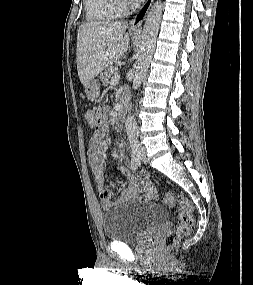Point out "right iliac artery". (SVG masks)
I'll return each instance as SVG.
<instances>
[{"mask_svg":"<svg viewBox=\"0 0 253 285\" xmlns=\"http://www.w3.org/2000/svg\"><path fill=\"white\" fill-rule=\"evenodd\" d=\"M131 143V169L136 170L137 166L140 164L138 155H137V140L135 137H130Z\"/></svg>","mask_w":253,"mask_h":285,"instance_id":"right-iliac-artery-1","label":"right iliac artery"}]
</instances>
